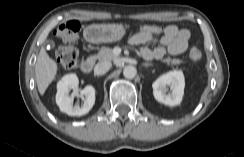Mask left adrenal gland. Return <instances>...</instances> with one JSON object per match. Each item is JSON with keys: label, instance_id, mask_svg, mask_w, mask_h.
<instances>
[{"label": "left adrenal gland", "instance_id": "a2214340", "mask_svg": "<svg viewBox=\"0 0 244 157\" xmlns=\"http://www.w3.org/2000/svg\"><path fill=\"white\" fill-rule=\"evenodd\" d=\"M143 67H149V66H152V63H144L142 64Z\"/></svg>", "mask_w": 244, "mask_h": 157}]
</instances>
